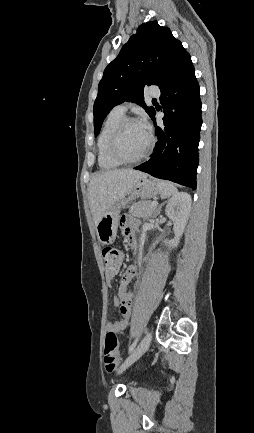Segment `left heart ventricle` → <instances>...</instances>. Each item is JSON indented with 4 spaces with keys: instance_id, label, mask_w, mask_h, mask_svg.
Here are the masks:
<instances>
[{
    "instance_id": "b2bd125f",
    "label": "left heart ventricle",
    "mask_w": 254,
    "mask_h": 433,
    "mask_svg": "<svg viewBox=\"0 0 254 433\" xmlns=\"http://www.w3.org/2000/svg\"><path fill=\"white\" fill-rule=\"evenodd\" d=\"M148 144V134L138 122L127 124L119 138V151L126 158L139 156Z\"/></svg>"
}]
</instances>
